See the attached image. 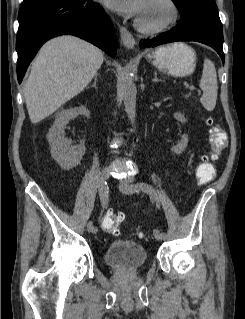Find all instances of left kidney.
<instances>
[{"mask_svg": "<svg viewBox=\"0 0 245 319\" xmlns=\"http://www.w3.org/2000/svg\"><path fill=\"white\" fill-rule=\"evenodd\" d=\"M174 118L182 123L186 122V119L182 113H174ZM188 145V136L183 135L179 143L172 148V152L175 154H181Z\"/></svg>", "mask_w": 245, "mask_h": 319, "instance_id": "obj_1", "label": "left kidney"}]
</instances>
